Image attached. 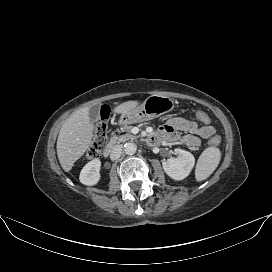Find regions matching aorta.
Wrapping results in <instances>:
<instances>
[{
    "label": "aorta",
    "mask_w": 272,
    "mask_h": 272,
    "mask_svg": "<svg viewBox=\"0 0 272 272\" xmlns=\"http://www.w3.org/2000/svg\"><path fill=\"white\" fill-rule=\"evenodd\" d=\"M137 147L134 143L128 142L124 145V151L127 155H133L136 153Z\"/></svg>",
    "instance_id": "762f6f07"
}]
</instances>
